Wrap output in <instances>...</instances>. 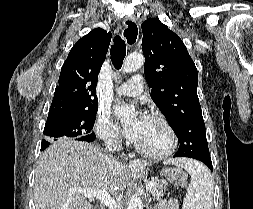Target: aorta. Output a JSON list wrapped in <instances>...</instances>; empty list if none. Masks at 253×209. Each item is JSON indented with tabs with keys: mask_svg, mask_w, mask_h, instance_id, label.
<instances>
[{
	"mask_svg": "<svg viewBox=\"0 0 253 209\" xmlns=\"http://www.w3.org/2000/svg\"><path fill=\"white\" fill-rule=\"evenodd\" d=\"M144 57L141 54H131L129 55L122 66L124 73H132L139 70L144 64ZM134 107L126 106L124 104L118 103L114 107V112L121 118V123L123 125L129 124L134 116ZM128 209H143V202L138 194L131 197Z\"/></svg>",
	"mask_w": 253,
	"mask_h": 209,
	"instance_id": "762f6f07",
	"label": "aorta"
}]
</instances>
